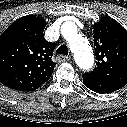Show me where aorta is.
<instances>
[{
    "mask_svg": "<svg viewBox=\"0 0 127 127\" xmlns=\"http://www.w3.org/2000/svg\"><path fill=\"white\" fill-rule=\"evenodd\" d=\"M62 30L67 34L77 65L83 70H89L94 64V55L89 42L77 33L76 26L72 22L65 23Z\"/></svg>",
    "mask_w": 127,
    "mask_h": 127,
    "instance_id": "762f6f07",
    "label": "aorta"
}]
</instances>
